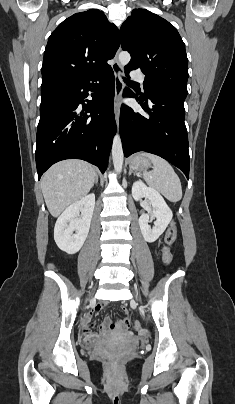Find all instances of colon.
<instances>
[{
	"label": "colon",
	"instance_id": "colon-1",
	"mask_svg": "<svg viewBox=\"0 0 235 404\" xmlns=\"http://www.w3.org/2000/svg\"><path fill=\"white\" fill-rule=\"evenodd\" d=\"M177 237V226L175 222H172L165 234L164 238V247H163V258L166 264H170L172 261V254H171V246L175 242ZM121 324L125 327H130V319L128 317H125L121 320ZM110 327H114V324H110ZM132 327L135 330H138L140 328V324L138 322H134L132 324ZM109 361H113L114 359L112 357L107 358Z\"/></svg>",
	"mask_w": 235,
	"mask_h": 404
}]
</instances>
